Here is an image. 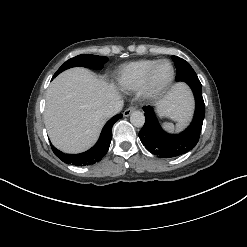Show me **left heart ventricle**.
Segmentation results:
<instances>
[{
	"instance_id": "left-heart-ventricle-1",
	"label": "left heart ventricle",
	"mask_w": 247,
	"mask_h": 247,
	"mask_svg": "<svg viewBox=\"0 0 247 247\" xmlns=\"http://www.w3.org/2000/svg\"><path fill=\"white\" fill-rule=\"evenodd\" d=\"M171 67L168 62L160 63L153 74L152 83L154 86H160L164 84L170 77Z\"/></svg>"
}]
</instances>
